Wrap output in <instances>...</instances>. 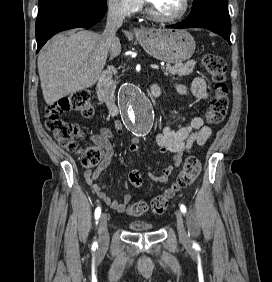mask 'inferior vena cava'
<instances>
[{"instance_id":"obj_1","label":"inferior vena cava","mask_w":272,"mask_h":282,"mask_svg":"<svg viewBox=\"0 0 272 282\" xmlns=\"http://www.w3.org/2000/svg\"><path fill=\"white\" fill-rule=\"evenodd\" d=\"M124 19L123 9L117 2H112L108 7V16L105 29L106 42L110 47L116 39V32L122 26Z\"/></svg>"}]
</instances>
